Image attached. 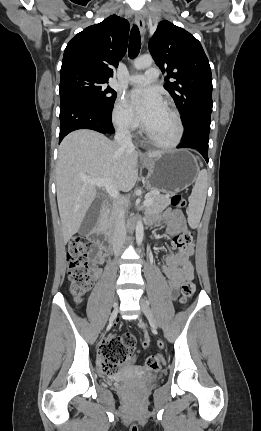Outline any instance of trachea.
Returning a JSON list of instances; mask_svg holds the SVG:
<instances>
[{
	"mask_svg": "<svg viewBox=\"0 0 261 431\" xmlns=\"http://www.w3.org/2000/svg\"><path fill=\"white\" fill-rule=\"evenodd\" d=\"M141 47V37L139 29L136 25H134L130 32L129 38V58H135L140 51Z\"/></svg>",
	"mask_w": 261,
	"mask_h": 431,
	"instance_id": "trachea-1",
	"label": "trachea"
}]
</instances>
